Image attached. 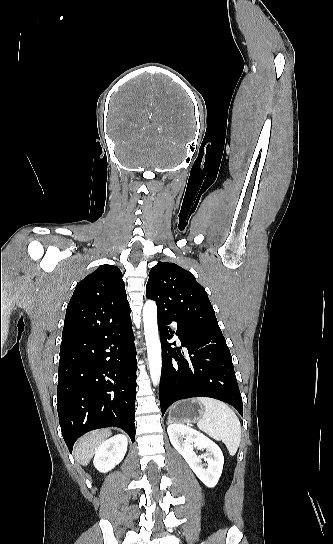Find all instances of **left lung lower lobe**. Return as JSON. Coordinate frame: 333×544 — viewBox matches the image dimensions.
I'll return each mask as SVG.
<instances>
[{"mask_svg": "<svg viewBox=\"0 0 333 544\" xmlns=\"http://www.w3.org/2000/svg\"><path fill=\"white\" fill-rule=\"evenodd\" d=\"M178 324L176 335L190 358L168 343L175 332L169 324ZM158 328L162 347L160 405L162 415L177 400L211 397L224 401L243 416V403L237 384L231 354L222 333L182 323L170 313L158 311Z\"/></svg>", "mask_w": 333, "mask_h": 544, "instance_id": "left-lung-lower-lobe-1", "label": "left lung lower lobe"}]
</instances>
